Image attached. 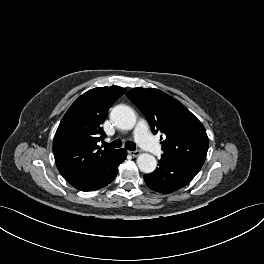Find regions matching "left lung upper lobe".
<instances>
[{
    "label": "left lung upper lobe",
    "instance_id": "5c2ea615",
    "mask_svg": "<svg viewBox=\"0 0 264 264\" xmlns=\"http://www.w3.org/2000/svg\"><path fill=\"white\" fill-rule=\"evenodd\" d=\"M126 95L146 116L153 133L165 134L161 142L164 155L202 167L208 151V136L202 123L183 104L154 88H134Z\"/></svg>",
    "mask_w": 264,
    "mask_h": 264
}]
</instances>
